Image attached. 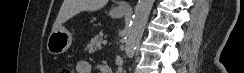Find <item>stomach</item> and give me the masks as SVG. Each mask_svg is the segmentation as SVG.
<instances>
[{
  "instance_id": "0dacf381",
  "label": "stomach",
  "mask_w": 244,
  "mask_h": 73,
  "mask_svg": "<svg viewBox=\"0 0 244 73\" xmlns=\"http://www.w3.org/2000/svg\"><path fill=\"white\" fill-rule=\"evenodd\" d=\"M125 11L112 9L109 15L113 18H121ZM72 44L71 33L63 26L51 31L47 40V50L52 55H60L66 52Z\"/></svg>"
}]
</instances>
